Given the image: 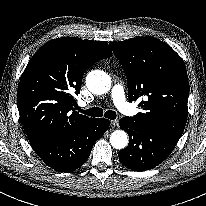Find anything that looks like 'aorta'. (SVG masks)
<instances>
[{"mask_svg": "<svg viewBox=\"0 0 206 206\" xmlns=\"http://www.w3.org/2000/svg\"><path fill=\"white\" fill-rule=\"evenodd\" d=\"M87 88L94 94H105L110 90L111 79L103 71H91L86 77ZM110 143L116 149H124L128 144V135L123 130H116L110 135Z\"/></svg>", "mask_w": 206, "mask_h": 206, "instance_id": "aorta-1", "label": "aorta"}]
</instances>
